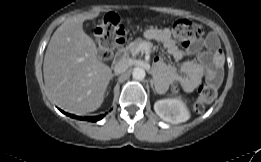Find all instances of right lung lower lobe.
Instances as JSON below:
<instances>
[{"label": "right lung lower lobe", "mask_w": 261, "mask_h": 162, "mask_svg": "<svg viewBox=\"0 0 261 162\" xmlns=\"http://www.w3.org/2000/svg\"><path fill=\"white\" fill-rule=\"evenodd\" d=\"M61 112H63L61 110ZM64 114H66L65 112H63ZM68 116L72 117V118H75V119H80V120H87V121H92V122H95L97 120H100L103 118L104 115H100V116H92V117H79V116H75V115H72V114H67Z\"/></svg>", "instance_id": "98d812e1"}]
</instances>
